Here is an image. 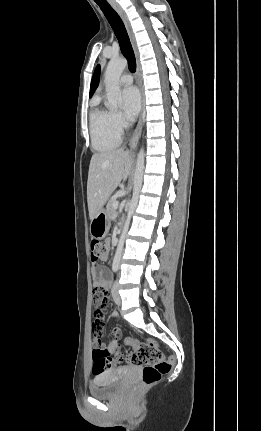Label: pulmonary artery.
<instances>
[{
    "label": "pulmonary artery",
    "instance_id": "obj_1",
    "mask_svg": "<svg viewBox=\"0 0 261 431\" xmlns=\"http://www.w3.org/2000/svg\"><path fill=\"white\" fill-rule=\"evenodd\" d=\"M132 82H133V78H132V76H131L130 74H123V75L120 77V83H121L122 85L128 86V85H130Z\"/></svg>",
    "mask_w": 261,
    "mask_h": 431
}]
</instances>
